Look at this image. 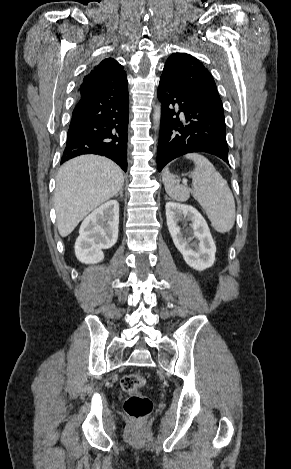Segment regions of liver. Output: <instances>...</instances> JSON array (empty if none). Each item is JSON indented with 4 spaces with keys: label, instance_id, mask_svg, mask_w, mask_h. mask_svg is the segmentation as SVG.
Listing matches in <instances>:
<instances>
[{
    "label": "liver",
    "instance_id": "liver-1",
    "mask_svg": "<svg viewBox=\"0 0 291 469\" xmlns=\"http://www.w3.org/2000/svg\"><path fill=\"white\" fill-rule=\"evenodd\" d=\"M123 183L121 168L107 158L84 155L66 162L58 172L54 195L60 235L68 236L85 216L116 195Z\"/></svg>",
    "mask_w": 291,
    "mask_h": 469
}]
</instances>
